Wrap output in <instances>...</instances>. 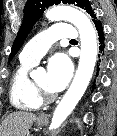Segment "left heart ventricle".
<instances>
[{"instance_id": "1", "label": "left heart ventricle", "mask_w": 117, "mask_h": 136, "mask_svg": "<svg viewBox=\"0 0 117 136\" xmlns=\"http://www.w3.org/2000/svg\"><path fill=\"white\" fill-rule=\"evenodd\" d=\"M35 81L40 87L52 93V91L48 88V85H47V74L46 73H42L38 75Z\"/></svg>"}]
</instances>
